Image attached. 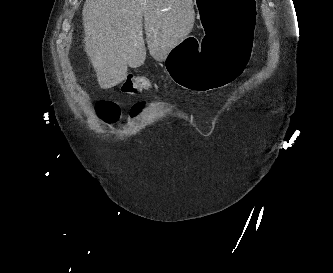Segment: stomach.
Listing matches in <instances>:
<instances>
[{"mask_svg":"<svg viewBox=\"0 0 333 273\" xmlns=\"http://www.w3.org/2000/svg\"><path fill=\"white\" fill-rule=\"evenodd\" d=\"M202 39L185 37L166 57L171 78L181 87L208 91L243 74L253 51L256 0H195ZM198 45V49L196 46Z\"/></svg>","mask_w":333,"mask_h":273,"instance_id":"1","label":"stomach"}]
</instances>
